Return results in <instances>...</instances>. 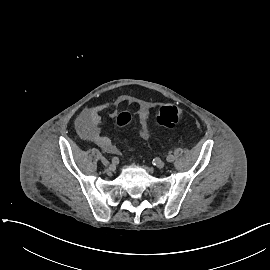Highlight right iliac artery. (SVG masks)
<instances>
[{"label":"right iliac artery","mask_w":270,"mask_h":270,"mask_svg":"<svg viewBox=\"0 0 270 270\" xmlns=\"http://www.w3.org/2000/svg\"><path fill=\"white\" fill-rule=\"evenodd\" d=\"M118 163H119L118 157H113V158H112V164L116 165V164H118Z\"/></svg>","instance_id":"1"}]
</instances>
